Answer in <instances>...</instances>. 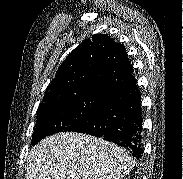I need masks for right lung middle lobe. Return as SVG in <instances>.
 <instances>
[{"label": "right lung middle lobe", "mask_w": 183, "mask_h": 179, "mask_svg": "<svg viewBox=\"0 0 183 179\" xmlns=\"http://www.w3.org/2000/svg\"><path fill=\"white\" fill-rule=\"evenodd\" d=\"M102 99L101 94H90L40 106L32 145L55 133L81 129L95 115Z\"/></svg>", "instance_id": "right-lung-middle-lobe-1"}]
</instances>
